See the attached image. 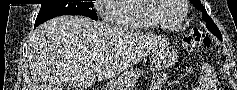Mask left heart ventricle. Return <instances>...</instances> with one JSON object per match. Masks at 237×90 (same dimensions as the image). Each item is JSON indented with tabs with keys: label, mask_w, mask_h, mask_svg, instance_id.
<instances>
[{
	"label": "left heart ventricle",
	"mask_w": 237,
	"mask_h": 90,
	"mask_svg": "<svg viewBox=\"0 0 237 90\" xmlns=\"http://www.w3.org/2000/svg\"><path fill=\"white\" fill-rule=\"evenodd\" d=\"M155 1H168L163 10H159L158 13H154L155 18L166 26H172L179 22L182 10L177 4V0H155Z\"/></svg>",
	"instance_id": "obj_1"
}]
</instances>
